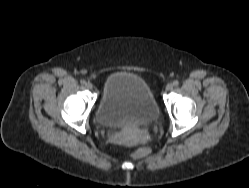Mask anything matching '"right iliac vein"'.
<instances>
[{"label": "right iliac vein", "mask_w": 249, "mask_h": 188, "mask_svg": "<svg viewBox=\"0 0 249 188\" xmlns=\"http://www.w3.org/2000/svg\"><path fill=\"white\" fill-rule=\"evenodd\" d=\"M85 86L88 88V89H92L93 88V84L91 82H87L85 84Z\"/></svg>", "instance_id": "63e3f726"}]
</instances>
